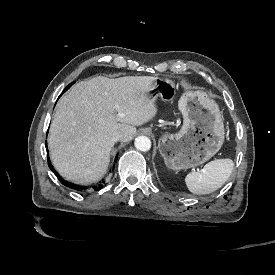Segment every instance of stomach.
<instances>
[{
    "label": "stomach",
    "instance_id": "1",
    "mask_svg": "<svg viewBox=\"0 0 275 275\" xmlns=\"http://www.w3.org/2000/svg\"><path fill=\"white\" fill-rule=\"evenodd\" d=\"M176 94L175 83L167 77H156L147 92L155 102L171 101ZM183 125L176 134L164 133L158 148L165 164L172 170L193 168L213 157L224 142L222 113L215 100L205 91H187L178 103Z\"/></svg>",
    "mask_w": 275,
    "mask_h": 275
}]
</instances>
